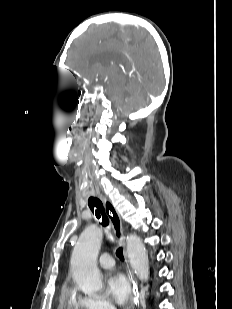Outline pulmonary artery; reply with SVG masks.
<instances>
[{"mask_svg": "<svg viewBox=\"0 0 232 309\" xmlns=\"http://www.w3.org/2000/svg\"><path fill=\"white\" fill-rule=\"evenodd\" d=\"M99 266L103 269H110L114 266V260L108 253L103 254L99 259Z\"/></svg>", "mask_w": 232, "mask_h": 309, "instance_id": "e3ab8cb5", "label": "pulmonary artery"}]
</instances>
